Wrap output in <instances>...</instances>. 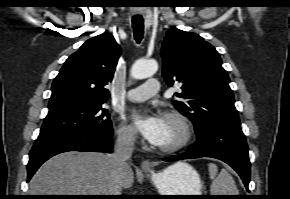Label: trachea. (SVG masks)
Instances as JSON below:
<instances>
[{"instance_id":"trachea-1","label":"trachea","mask_w":290,"mask_h":199,"mask_svg":"<svg viewBox=\"0 0 290 199\" xmlns=\"http://www.w3.org/2000/svg\"><path fill=\"white\" fill-rule=\"evenodd\" d=\"M132 26L134 32V38L139 43L143 38L144 25L142 16H134L132 18Z\"/></svg>"}]
</instances>
